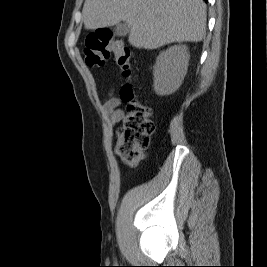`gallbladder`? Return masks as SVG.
<instances>
[{
	"mask_svg": "<svg viewBox=\"0 0 267 267\" xmlns=\"http://www.w3.org/2000/svg\"><path fill=\"white\" fill-rule=\"evenodd\" d=\"M130 31V27L127 24H117L114 28V34L120 37L126 36Z\"/></svg>",
	"mask_w": 267,
	"mask_h": 267,
	"instance_id": "gallbladder-1",
	"label": "gallbladder"
}]
</instances>
